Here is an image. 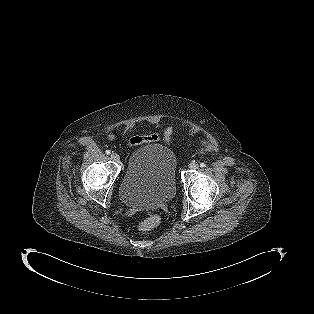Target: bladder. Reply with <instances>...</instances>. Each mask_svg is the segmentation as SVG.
I'll list each match as a JSON object with an SVG mask.
<instances>
[{
  "instance_id": "31cf9c89",
  "label": "bladder",
  "mask_w": 314,
  "mask_h": 314,
  "mask_svg": "<svg viewBox=\"0 0 314 314\" xmlns=\"http://www.w3.org/2000/svg\"><path fill=\"white\" fill-rule=\"evenodd\" d=\"M176 193V158L171 149L145 145L130 155L120 185L122 202L133 208H158Z\"/></svg>"
}]
</instances>
